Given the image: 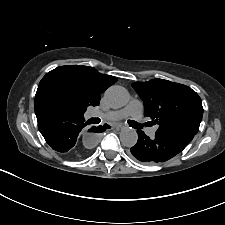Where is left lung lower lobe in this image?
<instances>
[{
  "mask_svg": "<svg viewBox=\"0 0 225 225\" xmlns=\"http://www.w3.org/2000/svg\"><path fill=\"white\" fill-rule=\"evenodd\" d=\"M138 141L130 149L134 158L146 164H156L169 160L180 153L193 139V133L177 132L156 134L153 139L143 131H137Z\"/></svg>",
  "mask_w": 225,
  "mask_h": 225,
  "instance_id": "obj_1",
  "label": "left lung lower lobe"
}]
</instances>
